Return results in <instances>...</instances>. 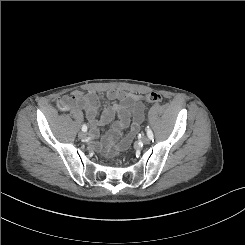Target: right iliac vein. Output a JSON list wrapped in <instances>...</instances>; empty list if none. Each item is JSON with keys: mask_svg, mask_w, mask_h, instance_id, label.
I'll list each match as a JSON object with an SVG mask.
<instances>
[{"mask_svg": "<svg viewBox=\"0 0 245 245\" xmlns=\"http://www.w3.org/2000/svg\"><path fill=\"white\" fill-rule=\"evenodd\" d=\"M78 136H79V138L83 139V138H85L86 134L84 132H80L78 134Z\"/></svg>", "mask_w": 245, "mask_h": 245, "instance_id": "63e3f726", "label": "right iliac vein"}]
</instances>
